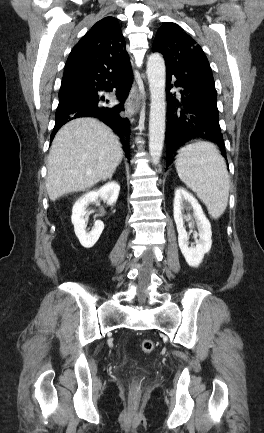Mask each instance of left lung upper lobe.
Wrapping results in <instances>:
<instances>
[{"label":"left lung upper lobe","instance_id":"1","mask_svg":"<svg viewBox=\"0 0 264 433\" xmlns=\"http://www.w3.org/2000/svg\"><path fill=\"white\" fill-rule=\"evenodd\" d=\"M152 49L163 54L166 69L181 77L214 83L206 55L201 47L177 24L164 23L158 30Z\"/></svg>","mask_w":264,"mask_h":433}]
</instances>
